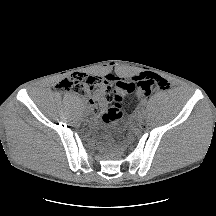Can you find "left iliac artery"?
<instances>
[{
  "label": "left iliac artery",
  "instance_id": "44dca946",
  "mask_svg": "<svg viewBox=\"0 0 216 216\" xmlns=\"http://www.w3.org/2000/svg\"><path fill=\"white\" fill-rule=\"evenodd\" d=\"M149 102L147 101V100H144L143 102H142V105H147Z\"/></svg>",
  "mask_w": 216,
  "mask_h": 216
}]
</instances>
